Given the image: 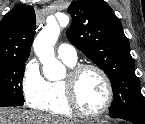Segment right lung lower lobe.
Here are the masks:
<instances>
[{"instance_id":"right-lung-lower-lobe-1","label":"right lung lower lobe","mask_w":145,"mask_h":124,"mask_svg":"<svg viewBox=\"0 0 145 124\" xmlns=\"http://www.w3.org/2000/svg\"><path fill=\"white\" fill-rule=\"evenodd\" d=\"M24 102H3L0 103V107H7V106H21Z\"/></svg>"}]
</instances>
